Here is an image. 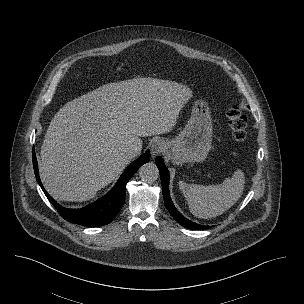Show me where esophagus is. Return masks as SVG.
<instances>
[{"instance_id":"esophagus-1","label":"esophagus","mask_w":304,"mask_h":304,"mask_svg":"<svg viewBox=\"0 0 304 304\" xmlns=\"http://www.w3.org/2000/svg\"><path fill=\"white\" fill-rule=\"evenodd\" d=\"M165 148V142L161 139H156L152 142L150 151L152 156H156Z\"/></svg>"}]
</instances>
